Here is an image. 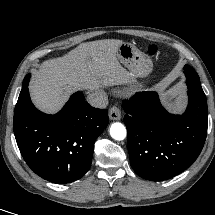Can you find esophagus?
<instances>
[{
  "label": "esophagus",
  "instance_id": "obj_1",
  "mask_svg": "<svg viewBox=\"0 0 215 215\" xmlns=\"http://www.w3.org/2000/svg\"><path fill=\"white\" fill-rule=\"evenodd\" d=\"M109 118L111 120H120L121 111L117 106H112L109 110Z\"/></svg>",
  "mask_w": 215,
  "mask_h": 215
}]
</instances>
